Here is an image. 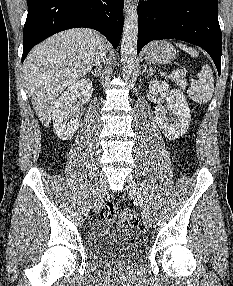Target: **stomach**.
Masks as SVG:
<instances>
[{
	"label": "stomach",
	"instance_id": "0dacf381",
	"mask_svg": "<svg viewBox=\"0 0 233 286\" xmlns=\"http://www.w3.org/2000/svg\"><path fill=\"white\" fill-rule=\"evenodd\" d=\"M176 51L167 41H160L146 50L145 61L147 63L167 64L175 59Z\"/></svg>",
	"mask_w": 233,
	"mask_h": 286
}]
</instances>
